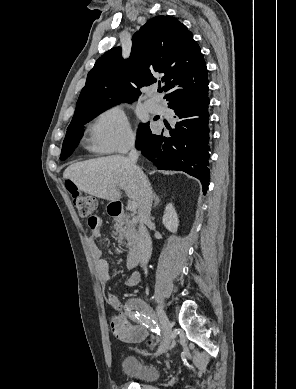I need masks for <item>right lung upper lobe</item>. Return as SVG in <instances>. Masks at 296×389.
<instances>
[{"mask_svg":"<svg viewBox=\"0 0 296 389\" xmlns=\"http://www.w3.org/2000/svg\"><path fill=\"white\" fill-rule=\"evenodd\" d=\"M207 72L201 49L187 27L174 17L156 16L134 34L128 59L116 47L96 61L74 116L89 108L133 102L140 95L139 88L157 81L165 84L170 105L207 88Z\"/></svg>","mask_w":296,"mask_h":389,"instance_id":"cb5924a9","label":"right lung upper lobe"}]
</instances>
